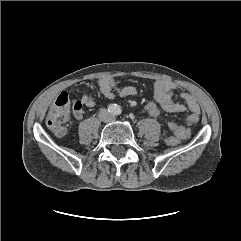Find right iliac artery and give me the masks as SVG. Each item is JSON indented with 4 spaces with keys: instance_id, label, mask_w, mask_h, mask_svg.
Listing matches in <instances>:
<instances>
[{
    "instance_id": "1",
    "label": "right iliac artery",
    "mask_w": 241,
    "mask_h": 241,
    "mask_svg": "<svg viewBox=\"0 0 241 241\" xmlns=\"http://www.w3.org/2000/svg\"><path fill=\"white\" fill-rule=\"evenodd\" d=\"M108 111L111 112V113H114V111H115V105H113V104L109 105Z\"/></svg>"
}]
</instances>
